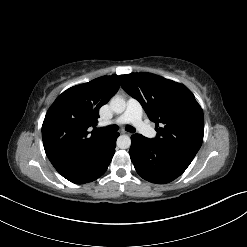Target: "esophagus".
<instances>
[{"label":"esophagus","instance_id":"34e87169","mask_svg":"<svg viewBox=\"0 0 247 247\" xmlns=\"http://www.w3.org/2000/svg\"><path fill=\"white\" fill-rule=\"evenodd\" d=\"M121 133H122V134H125V135H129V136L131 135V133H129V132H127V131H124V130L121 131Z\"/></svg>","mask_w":247,"mask_h":247}]
</instances>
